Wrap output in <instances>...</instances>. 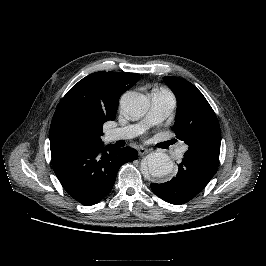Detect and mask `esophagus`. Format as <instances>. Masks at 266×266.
Returning <instances> with one entry per match:
<instances>
[{
  "instance_id": "34e87169",
  "label": "esophagus",
  "mask_w": 266,
  "mask_h": 266,
  "mask_svg": "<svg viewBox=\"0 0 266 266\" xmlns=\"http://www.w3.org/2000/svg\"><path fill=\"white\" fill-rule=\"evenodd\" d=\"M148 152H149V150L144 148V147H139L138 148L139 155H144V154H147Z\"/></svg>"
}]
</instances>
